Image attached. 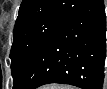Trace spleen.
<instances>
[{"instance_id":"3e777b00","label":"spleen","mask_w":107,"mask_h":89,"mask_svg":"<svg viewBox=\"0 0 107 89\" xmlns=\"http://www.w3.org/2000/svg\"><path fill=\"white\" fill-rule=\"evenodd\" d=\"M51 88H66V87H62V86H53Z\"/></svg>"}]
</instances>
